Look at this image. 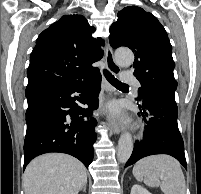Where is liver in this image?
Masks as SVG:
<instances>
[{"instance_id": "obj_1", "label": "liver", "mask_w": 201, "mask_h": 194, "mask_svg": "<svg viewBox=\"0 0 201 194\" xmlns=\"http://www.w3.org/2000/svg\"><path fill=\"white\" fill-rule=\"evenodd\" d=\"M86 183L85 166L74 157L61 153L35 158L23 174L25 194H78Z\"/></svg>"}]
</instances>
